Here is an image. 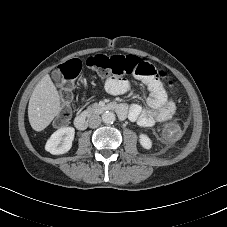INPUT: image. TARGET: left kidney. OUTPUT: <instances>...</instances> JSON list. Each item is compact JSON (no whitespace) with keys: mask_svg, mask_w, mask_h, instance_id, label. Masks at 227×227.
<instances>
[{"mask_svg":"<svg viewBox=\"0 0 227 227\" xmlns=\"http://www.w3.org/2000/svg\"><path fill=\"white\" fill-rule=\"evenodd\" d=\"M139 142H140L141 146L147 150L151 149V147H152L151 139L145 134L139 135Z\"/></svg>","mask_w":227,"mask_h":227,"instance_id":"1","label":"left kidney"}]
</instances>
